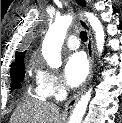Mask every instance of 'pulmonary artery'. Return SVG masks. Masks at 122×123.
<instances>
[{
    "instance_id": "pulmonary-artery-1",
    "label": "pulmonary artery",
    "mask_w": 122,
    "mask_h": 123,
    "mask_svg": "<svg viewBox=\"0 0 122 123\" xmlns=\"http://www.w3.org/2000/svg\"><path fill=\"white\" fill-rule=\"evenodd\" d=\"M66 45L71 50H76L79 47V40L76 36L72 35L68 37Z\"/></svg>"
}]
</instances>
